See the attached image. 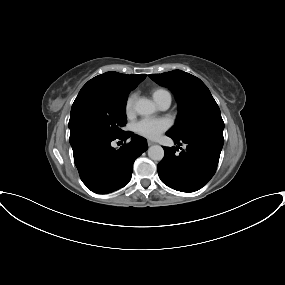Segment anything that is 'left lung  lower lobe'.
I'll return each mask as SVG.
<instances>
[{
	"label": "left lung lower lobe",
	"instance_id": "left-lung-lower-lobe-1",
	"mask_svg": "<svg viewBox=\"0 0 285 285\" xmlns=\"http://www.w3.org/2000/svg\"><path fill=\"white\" fill-rule=\"evenodd\" d=\"M175 143L187 144L185 151L176 153L175 147H164L165 156L158 164L160 179L167 186L183 192L202 188L214 175L224 138L213 133H200L178 139L169 134Z\"/></svg>",
	"mask_w": 285,
	"mask_h": 285
}]
</instances>
